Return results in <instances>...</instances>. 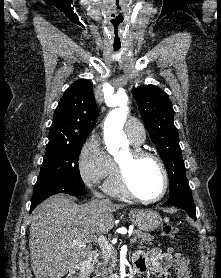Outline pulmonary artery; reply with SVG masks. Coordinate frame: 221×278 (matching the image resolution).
Returning <instances> with one entry per match:
<instances>
[{
    "mask_svg": "<svg viewBox=\"0 0 221 278\" xmlns=\"http://www.w3.org/2000/svg\"><path fill=\"white\" fill-rule=\"evenodd\" d=\"M125 131L129 139L134 143H142L145 140V130L139 122L127 121Z\"/></svg>",
    "mask_w": 221,
    "mask_h": 278,
    "instance_id": "obj_1",
    "label": "pulmonary artery"
}]
</instances>
